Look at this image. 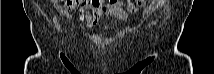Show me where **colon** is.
<instances>
[{"mask_svg":"<svg viewBox=\"0 0 214 74\" xmlns=\"http://www.w3.org/2000/svg\"><path fill=\"white\" fill-rule=\"evenodd\" d=\"M135 2L142 4V3H144V0H136Z\"/></svg>","mask_w":214,"mask_h":74,"instance_id":"1","label":"colon"}]
</instances>
